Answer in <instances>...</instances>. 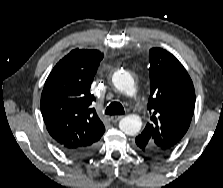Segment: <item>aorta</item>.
Instances as JSON below:
<instances>
[{"label":"aorta","instance_id":"762f6f07","mask_svg":"<svg viewBox=\"0 0 223 188\" xmlns=\"http://www.w3.org/2000/svg\"><path fill=\"white\" fill-rule=\"evenodd\" d=\"M112 82L114 86L128 96L136 94V87L133 77L128 72L116 71L113 74ZM142 127L141 118L138 115H127L119 122L120 130L126 135H136Z\"/></svg>","mask_w":223,"mask_h":188}]
</instances>
